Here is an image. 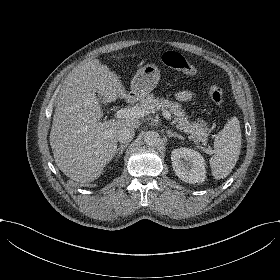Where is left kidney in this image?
Here are the masks:
<instances>
[{
    "label": "left kidney",
    "mask_w": 280,
    "mask_h": 280,
    "mask_svg": "<svg viewBox=\"0 0 280 280\" xmlns=\"http://www.w3.org/2000/svg\"><path fill=\"white\" fill-rule=\"evenodd\" d=\"M172 167L175 174L190 184L202 183L206 178L205 160L193 149L178 148L171 153Z\"/></svg>",
    "instance_id": "1"
}]
</instances>
